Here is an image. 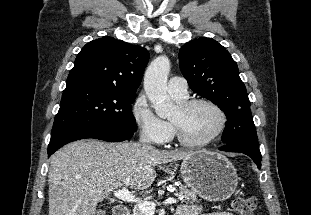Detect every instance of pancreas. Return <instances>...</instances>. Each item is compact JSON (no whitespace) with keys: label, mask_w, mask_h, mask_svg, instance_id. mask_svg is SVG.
Here are the masks:
<instances>
[{"label":"pancreas","mask_w":311,"mask_h":215,"mask_svg":"<svg viewBox=\"0 0 311 215\" xmlns=\"http://www.w3.org/2000/svg\"><path fill=\"white\" fill-rule=\"evenodd\" d=\"M178 196L181 197L180 198L181 202L190 203V204L194 202H198L197 195L193 191L189 190L186 186L179 187ZM133 215H145V214L141 210H136Z\"/></svg>","instance_id":"obj_1"}]
</instances>
